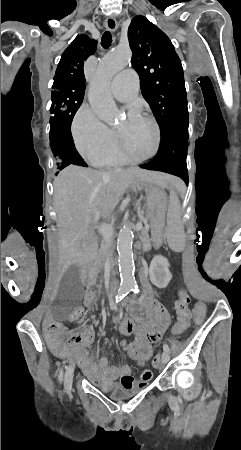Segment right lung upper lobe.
<instances>
[{"label": "right lung upper lobe", "instance_id": "1", "mask_svg": "<svg viewBox=\"0 0 241 450\" xmlns=\"http://www.w3.org/2000/svg\"><path fill=\"white\" fill-rule=\"evenodd\" d=\"M96 46L97 42L87 35L77 36L63 52L53 84L65 83L85 88L83 64L91 54H94Z\"/></svg>", "mask_w": 241, "mask_h": 450}]
</instances>
